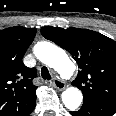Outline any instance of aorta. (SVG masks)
<instances>
[{
	"label": "aorta",
	"mask_w": 116,
	"mask_h": 116,
	"mask_svg": "<svg viewBox=\"0 0 116 116\" xmlns=\"http://www.w3.org/2000/svg\"><path fill=\"white\" fill-rule=\"evenodd\" d=\"M33 53L38 60L60 74L69 75L75 68L65 51L50 42L37 43ZM61 97L65 107L72 111L76 110L83 100L81 91L76 87L67 88Z\"/></svg>",
	"instance_id": "1"
}]
</instances>
